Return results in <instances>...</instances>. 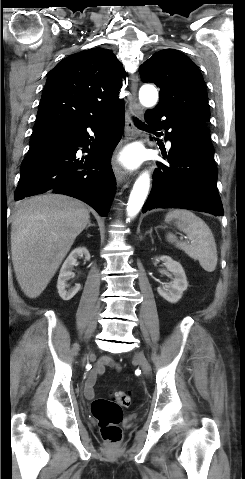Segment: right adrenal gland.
I'll list each match as a JSON object with an SVG mask.
<instances>
[{
    "label": "right adrenal gland",
    "mask_w": 245,
    "mask_h": 479,
    "mask_svg": "<svg viewBox=\"0 0 245 479\" xmlns=\"http://www.w3.org/2000/svg\"><path fill=\"white\" fill-rule=\"evenodd\" d=\"M90 226H95V224H91L90 222L88 223V226L86 227V229H88Z\"/></svg>",
    "instance_id": "right-adrenal-gland-1"
}]
</instances>
